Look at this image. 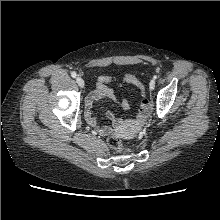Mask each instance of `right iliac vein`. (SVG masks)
Masks as SVG:
<instances>
[{"label": "right iliac vein", "mask_w": 220, "mask_h": 220, "mask_svg": "<svg viewBox=\"0 0 220 220\" xmlns=\"http://www.w3.org/2000/svg\"><path fill=\"white\" fill-rule=\"evenodd\" d=\"M76 82H77V84L81 87V88H83L84 87V80L81 78V77H77L76 78Z\"/></svg>", "instance_id": "63e3f726"}]
</instances>
